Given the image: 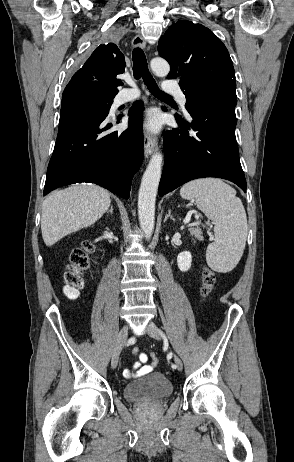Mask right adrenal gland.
<instances>
[{"label": "right adrenal gland", "instance_id": "obj_1", "mask_svg": "<svg viewBox=\"0 0 294 462\" xmlns=\"http://www.w3.org/2000/svg\"><path fill=\"white\" fill-rule=\"evenodd\" d=\"M108 214L111 213L113 214V205H111L110 210L107 212Z\"/></svg>", "mask_w": 294, "mask_h": 462}]
</instances>
